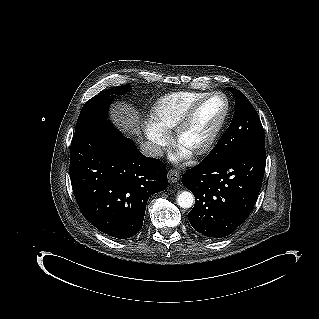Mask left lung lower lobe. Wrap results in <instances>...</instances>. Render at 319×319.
<instances>
[{"label":"left lung lower lobe","mask_w":319,"mask_h":319,"mask_svg":"<svg viewBox=\"0 0 319 319\" xmlns=\"http://www.w3.org/2000/svg\"><path fill=\"white\" fill-rule=\"evenodd\" d=\"M265 165V146H256L215 162L204 159L183 174L182 183L195 196L188 220L200 236L223 238L247 219L260 192Z\"/></svg>","instance_id":"left-lung-lower-lobe-1"}]
</instances>
